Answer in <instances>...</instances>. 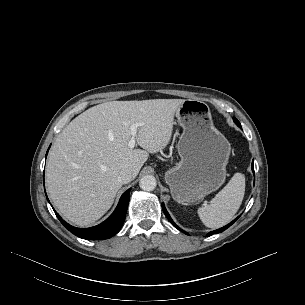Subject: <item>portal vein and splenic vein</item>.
Wrapping results in <instances>:
<instances>
[{
  "mask_svg": "<svg viewBox=\"0 0 305 305\" xmlns=\"http://www.w3.org/2000/svg\"><path fill=\"white\" fill-rule=\"evenodd\" d=\"M142 126L141 123H134L130 126V130H131V138L128 142V147L129 148H134L135 144H136V135H137V128Z\"/></svg>",
  "mask_w": 305,
  "mask_h": 305,
  "instance_id": "1",
  "label": "portal vein and splenic vein"
}]
</instances>
